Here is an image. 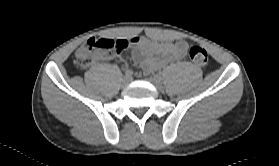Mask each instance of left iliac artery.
<instances>
[{"mask_svg":"<svg viewBox=\"0 0 279 166\" xmlns=\"http://www.w3.org/2000/svg\"><path fill=\"white\" fill-rule=\"evenodd\" d=\"M157 77H159L161 79V74L156 75Z\"/></svg>","mask_w":279,"mask_h":166,"instance_id":"44dca946","label":"left iliac artery"}]
</instances>
